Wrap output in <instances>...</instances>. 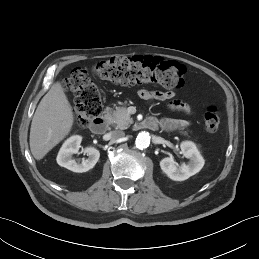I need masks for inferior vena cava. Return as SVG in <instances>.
<instances>
[{"label":"inferior vena cava","mask_w":259,"mask_h":259,"mask_svg":"<svg viewBox=\"0 0 259 259\" xmlns=\"http://www.w3.org/2000/svg\"><path fill=\"white\" fill-rule=\"evenodd\" d=\"M111 139L119 140L125 136V133L121 130H114L110 132Z\"/></svg>","instance_id":"1"}]
</instances>
